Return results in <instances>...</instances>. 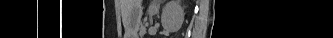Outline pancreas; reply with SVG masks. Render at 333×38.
I'll list each match as a JSON object with an SVG mask.
<instances>
[{"label": "pancreas", "mask_w": 333, "mask_h": 38, "mask_svg": "<svg viewBox=\"0 0 333 38\" xmlns=\"http://www.w3.org/2000/svg\"><path fill=\"white\" fill-rule=\"evenodd\" d=\"M145 31H146V28H145V26H142V27H141V33H142V34H144V33H145Z\"/></svg>", "instance_id": "pancreas-1"}]
</instances>
